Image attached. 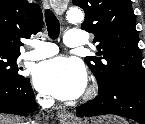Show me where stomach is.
<instances>
[{
  "instance_id": "0dacf381",
  "label": "stomach",
  "mask_w": 145,
  "mask_h": 124,
  "mask_svg": "<svg viewBox=\"0 0 145 124\" xmlns=\"http://www.w3.org/2000/svg\"><path fill=\"white\" fill-rule=\"evenodd\" d=\"M79 124H125V121L114 116H105L90 121H82Z\"/></svg>"
}]
</instances>
